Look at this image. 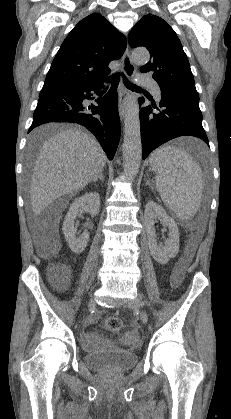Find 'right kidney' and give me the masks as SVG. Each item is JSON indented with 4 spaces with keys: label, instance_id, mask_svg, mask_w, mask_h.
<instances>
[{
    "label": "right kidney",
    "instance_id": "right-kidney-1",
    "mask_svg": "<svg viewBox=\"0 0 231 419\" xmlns=\"http://www.w3.org/2000/svg\"><path fill=\"white\" fill-rule=\"evenodd\" d=\"M99 208L100 195L97 192L86 193L81 197L76 198L70 205L69 211L62 226V231L64 233L65 240L74 253H82L89 241V232L87 230L83 232L80 238L76 237V217L83 212H88L92 216H96L99 214Z\"/></svg>",
    "mask_w": 231,
    "mask_h": 419
}]
</instances>
